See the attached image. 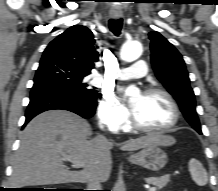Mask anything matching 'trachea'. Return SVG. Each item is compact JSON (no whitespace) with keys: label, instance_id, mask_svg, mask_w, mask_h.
I'll return each mask as SVG.
<instances>
[{"label":"trachea","instance_id":"obj_1","mask_svg":"<svg viewBox=\"0 0 218 191\" xmlns=\"http://www.w3.org/2000/svg\"><path fill=\"white\" fill-rule=\"evenodd\" d=\"M109 28L114 35L119 36L122 29V19H110Z\"/></svg>","mask_w":218,"mask_h":191}]
</instances>
